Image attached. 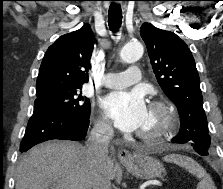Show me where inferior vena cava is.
Instances as JSON below:
<instances>
[{
  "label": "inferior vena cava",
  "mask_w": 223,
  "mask_h": 189,
  "mask_svg": "<svg viewBox=\"0 0 223 189\" xmlns=\"http://www.w3.org/2000/svg\"><path fill=\"white\" fill-rule=\"evenodd\" d=\"M113 136L114 130L112 126L104 122L95 123L90 132L85 148L92 163V189H112L107 164L109 163L108 145Z\"/></svg>",
  "instance_id": "602c4592"
}]
</instances>
